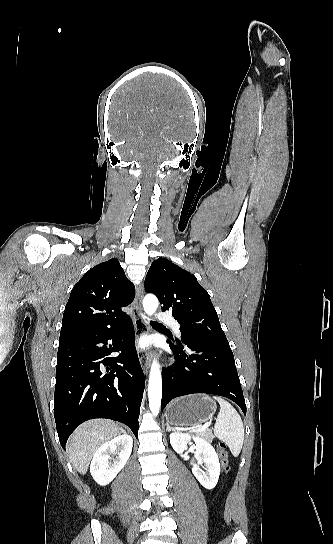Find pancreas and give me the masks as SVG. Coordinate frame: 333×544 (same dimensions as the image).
<instances>
[{
    "label": "pancreas",
    "instance_id": "cf45deb5",
    "mask_svg": "<svg viewBox=\"0 0 333 544\" xmlns=\"http://www.w3.org/2000/svg\"><path fill=\"white\" fill-rule=\"evenodd\" d=\"M196 436L204 438V439H206L208 441H211L213 439L212 432L210 430H207V429L204 430V431H201V432H197Z\"/></svg>",
    "mask_w": 333,
    "mask_h": 544
}]
</instances>
